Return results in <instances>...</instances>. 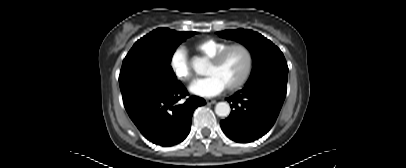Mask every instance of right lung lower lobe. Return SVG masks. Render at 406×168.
I'll list each match as a JSON object with an SVG mask.
<instances>
[{"label":"right lung lower lobe","instance_id":"obj_1","mask_svg":"<svg viewBox=\"0 0 406 168\" xmlns=\"http://www.w3.org/2000/svg\"><path fill=\"white\" fill-rule=\"evenodd\" d=\"M186 95L185 87L177 82L173 87L142 100L127 112L145 138L154 144L172 146L189 134L195 108L206 104L203 98L197 96L177 104Z\"/></svg>","mask_w":406,"mask_h":168}]
</instances>
